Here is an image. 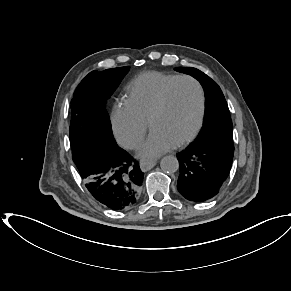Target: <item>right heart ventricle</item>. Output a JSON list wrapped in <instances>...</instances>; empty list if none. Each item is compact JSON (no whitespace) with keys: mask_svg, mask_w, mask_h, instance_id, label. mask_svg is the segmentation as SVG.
Listing matches in <instances>:
<instances>
[{"mask_svg":"<svg viewBox=\"0 0 291 291\" xmlns=\"http://www.w3.org/2000/svg\"><path fill=\"white\" fill-rule=\"evenodd\" d=\"M176 77L160 72L139 75L129 86L126 103L139 118L148 122L162 90Z\"/></svg>","mask_w":291,"mask_h":291,"instance_id":"e07e8e85","label":"right heart ventricle"}]
</instances>
